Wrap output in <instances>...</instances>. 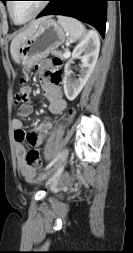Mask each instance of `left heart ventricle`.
<instances>
[{"label": "left heart ventricle", "mask_w": 133, "mask_h": 253, "mask_svg": "<svg viewBox=\"0 0 133 253\" xmlns=\"http://www.w3.org/2000/svg\"><path fill=\"white\" fill-rule=\"evenodd\" d=\"M41 5V1H13L11 9L17 21L30 17Z\"/></svg>", "instance_id": "1"}]
</instances>
